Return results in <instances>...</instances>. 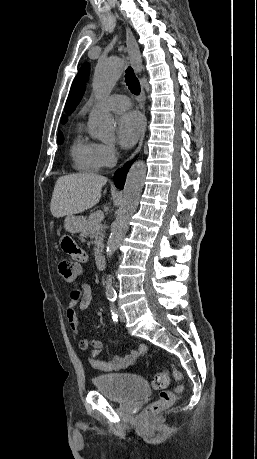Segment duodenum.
Wrapping results in <instances>:
<instances>
[{"instance_id":"1","label":"duodenum","mask_w":257,"mask_h":459,"mask_svg":"<svg viewBox=\"0 0 257 459\" xmlns=\"http://www.w3.org/2000/svg\"><path fill=\"white\" fill-rule=\"evenodd\" d=\"M96 267L98 269H103L105 267V257L102 253L96 255Z\"/></svg>"}]
</instances>
